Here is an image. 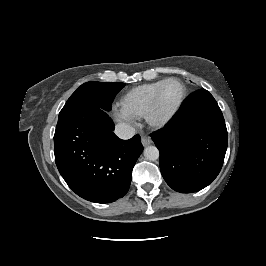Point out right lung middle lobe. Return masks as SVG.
<instances>
[{
  "instance_id": "1",
  "label": "right lung middle lobe",
  "mask_w": 266,
  "mask_h": 266,
  "mask_svg": "<svg viewBox=\"0 0 266 266\" xmlns=\"http://www.w3.org/2000/svg\"><path fill=\"white\" fill-rule=\"evenodd\" d=\"M125 86L122 82H87L70 96L59 113L56 127L63 125L69 118L86 106H95L109 111L115 95Z\"/></svg>"
}]
</instances>
